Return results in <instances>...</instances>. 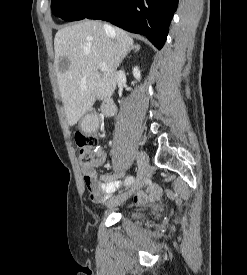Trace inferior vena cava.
<instances>
[{"label":"inferior vena cava","instance_id":"602c4592","mask_svg":"<svg viewBox=\"0 0 247 275\" xmlns=\"http://www.w3.org/2000/svg\"><path fill=\"white\" fill-rule=\"evenodd\" d=\"M104 28H105L106 31H110L111 30V27L108 26V25H104Z\"/></svg>","mask_w":247,"mask_h":275}]
</instances>
